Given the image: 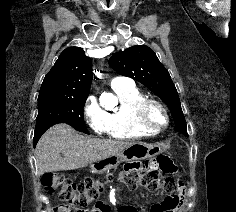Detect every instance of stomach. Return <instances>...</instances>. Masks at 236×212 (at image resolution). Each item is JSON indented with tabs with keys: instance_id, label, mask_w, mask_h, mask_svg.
<instances>
[{
	"instance_id": "1",
	"label": "stomach",
	"mask_w": 236,
	"mask_h": 212,
	"mask_svg": "<svg viewBox=\"0 0 236 212\" xmlns=\"http://www.w3.org/2000/svg\"><path fill=\"white\" fill-rule=\"evenodd\" d=\"M161 152L162 149L158 145H149L141 142L134 143L116 155L97 161L91 166V170L93 173H104L110 169L117 168L122 162L149 159Z\"/></svg>"
}]
</instances>
